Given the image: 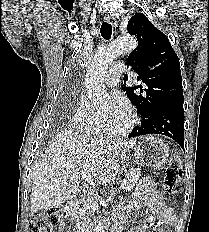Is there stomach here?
Here are the masks:
<instances>
[{
	"mask_svg": "<svg viewBox=\"0 0 209 232\" xmlns=\"http://www.w3.org/2000/svg\"><path fill=\"white\" fill-rule=\"evenodd\" d=\"M137 158L152 169H163L169 157L168 146L154 136L142 137L136 145Z\"/></svg>",
	"mask_w": 209,
	"mask_h": 232,
	"instance_id": "obj_1",
	"label": "stomach"
}]
</instances>
